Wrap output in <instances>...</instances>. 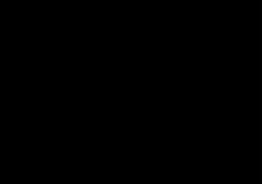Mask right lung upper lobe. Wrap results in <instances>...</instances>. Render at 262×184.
<instances>
[{
	"instance_id": "obj_1",
	"label": "right lung upper lobe",
	"mask_w": 262,
	"mask_h": 184,
	"mask_svg": "<svg viewBox=\"0 0 262 184\" xmlns=\"http://www.w3.org/2000/svg\"><path fill=\"white\" fill-rule=\"evenodd\" d=\"M123 28L125 27L120 26V25H115L113 23H109L103 20H88V21H84L81 24L77 25L75 28H73V30H70L69 32L85 29V30H89L103 37L105 35L110 34L111 32H115Z\"/></svg>"
}]
</instances>
